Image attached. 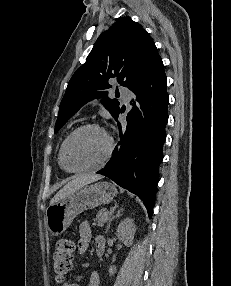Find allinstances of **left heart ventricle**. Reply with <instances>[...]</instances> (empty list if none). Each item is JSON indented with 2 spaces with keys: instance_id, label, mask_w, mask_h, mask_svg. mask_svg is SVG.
Instances as JSON below:
<instances>
[{
  "instance_id": "left-heart-ventricle-1",
  "label": "left heart ventricle",
  "mask_w": 231,
  "mask_h": 286,
  "mask_svg": "<svg viewBox=\"0 0 231 286\" xmlns=\"http://www.w3.org/2000/svg\"><path fill=\"white\" fill-rule=\"evenodd\" d=\"M108 142L103 133L96 129H85L74 135L65 150V165L78 169L101 159L106 153Z\"/></svg>"
}]
</instances>
